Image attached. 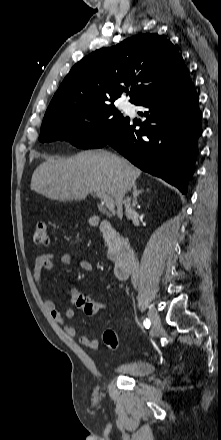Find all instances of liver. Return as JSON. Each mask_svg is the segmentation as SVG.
I'll list each match as a JSON object with an SVG mask.
<instances>
[{"mask_svg": "<svg viewBox=\"0 0 221 440\" xmlns=\"http://www.w3.org/2000/svg\"><path fill=\"white\" fill-rule=\"evenodd\" d=\"M141 170L105 150L83 151L69 159H47L34 171L30 188L51 200H84L90 193L110 194L117 216L123 215L124 196Z\"/></svg>", "mask_w": 221, "mask_h": 440, "instance_id": "liver-1", "label": "liver"}]
</instances>
